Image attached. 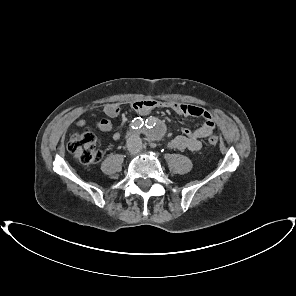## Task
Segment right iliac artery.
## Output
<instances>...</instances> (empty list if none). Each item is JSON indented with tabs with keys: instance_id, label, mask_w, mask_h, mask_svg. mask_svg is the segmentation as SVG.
<instances>
[{
	"instance_id": "82829eb1",
	"label": "right iliac artery",
	"mask_w": 296,
	"mask_h": 296,
	"mask_svg": "<svg viewBox=\"0 0 296 296\" xmlns=\"http://www.w3.org/2000/svg\"><path fill=\"white\" fill-rule=\"evenodd\" d=\"M144 125V121L141 118H135L132 121L131 127L132 129H140Z\"/></svg>"
}]
</instances>
